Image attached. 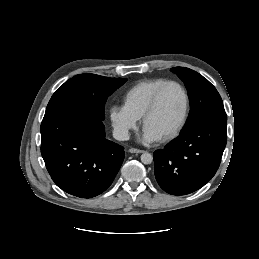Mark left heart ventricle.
<instances>
[{
  "instance_id": "left-heart-ventricle-1",
  "label": "left heart ventricle",
  "mask_w": 259,
  "mask_h": 259,
  "mask_svg": "<svg viewBox=\"0 0 259 259\" xmlns=\"http://www.w3.org/2000/svg\"><path fill=\"white\" fill-rule=\"evenodd\" d=\"M184 104L181 89L175 85L167 87L161 96L157 110L147 120L145 128L159 138L166 135L180 121Z\"/></svg>"
}]
</instances>
